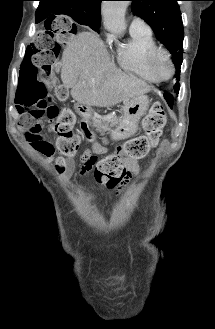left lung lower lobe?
Listing matches in <instances>:
<instances>
[{"instance_id":"left-lung-lower-lobe-1","label":"left lung lower lobe","mask_w":215,"mask_h":329,"mask_svg":"<svg viewBox=\"0 0 215 329\" xmlns=\"http://www.w3.org/2000/svg\"><path fill=\"white\" fill-rule=\"evenodd\" d=\"M164 98L166 99L168 105L172 108L173 96L171 94H164Z\"/></svg>"}]
</instances>
